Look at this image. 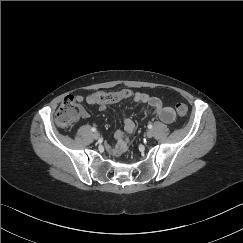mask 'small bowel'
<instances>
[{
  "label": "small bowel",
  "mask_w": 243,
  "mask_h": 243,
  "mask_svg": "<svg viewBox=\"0 0 243 243\" xmlns=\"http://www.w3.org/2000/svg\"><path fill=\"white\" fill-rule=\"evenodd\" d=\"M128 92V97H132L133 101L138 104H146L148 109L144 111V115H155L164 123H171L175 119V112L172 107L165 106L162 101L154 96L148 95L142 92H132L130 90H123ZM77 99L80 102H87L91 105H99L100 107H105L107 103L100 101L97 98H94V95L87 96H77ZM112 103V102H109ZM82 117H87L88 113L86 110L81 111ZM121 116L124 123V129L118 130L114 134L115 144L111 145L106 143L105 148L112 153L113 155L119 156L122 155L127 148L129 135L134 131L135 124L128 115V113L123 110Z\"/></svg>",
  "instance_id": "c3829d8e"
}]
</instances>
